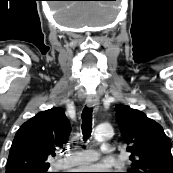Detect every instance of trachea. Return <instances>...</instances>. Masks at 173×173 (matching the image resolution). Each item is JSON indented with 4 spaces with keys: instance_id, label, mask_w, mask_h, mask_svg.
<instances>
[{
    "instance_id": "1",
    "label": "trachea",
    "mask_w": 173,
    "mask_h": 173,
    "mask_svg": "<svg viewBox=\"0 0 173 173\" xmlns=\"http://www.w3.org/2000/svg\"><path fill=\"white\" fill-rule=\"evenodd\" d=\"M82 134H83V139L86 141L92 131V108L85 107L82 111Z\"/></svg>"
}]
</instances>
